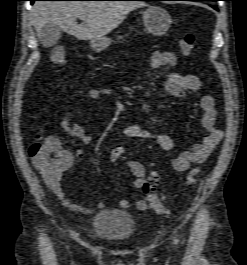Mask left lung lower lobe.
Returning a JSON list of instances; mask_svg holds the SVG:
<instances>
[{"label":"left lung lower lobe","mask_w":247,"mask_h":265,"mask_svg":"<svg viewBox=\"0 0 247 265\" xmlns=\"http://www.w3.org/2000/svg\"><path fill=\"white\" fill-rule=\"evenodd\" d=\"M144 1H166V0H144ZM186 1H203V0H186Z\"/></svg>","instance_id":"obj_1"}]
</instances>
